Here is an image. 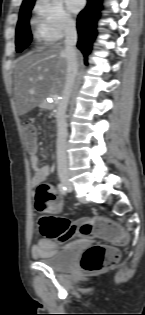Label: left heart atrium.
<instances>
[{"mask_svg": "<svg viewBox=\"0 0 145 315\" xmlns=\"http://www.w3.org/2000/svg\"><path fill=\"white\" fill-rule=\"evenodd\" d=\"M67 7L72 13H77L84 6V0H66Z\"/></svg>", "mask_w": 145, "mask_h": 315, "instance_id": "1", "label": "left heart atrium"}]
</instances>
